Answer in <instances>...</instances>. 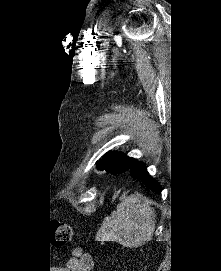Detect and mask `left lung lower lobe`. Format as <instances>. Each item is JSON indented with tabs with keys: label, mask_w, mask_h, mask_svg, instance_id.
<instances>
[{
	"label": "left lung lower lobe",
	"mask_w": 221,
	"mask_h": 271,
	"mask_svg": "<svg viewBox=\"0 0 221 271\" xmlns=\"http://www.w3.org/2000/svg\"><path fill=\"white\" fill-rule=\"evenodd\" d=\"M128 171H130V174L132 176L142 180L144 184L147 185L152 190L154 191L159 190V184L149 176L148 172L146 171V167L143 163L133 159L132 164Z\"/></svg>",
	"instance_id": "obj_1"
}]
</instances>
